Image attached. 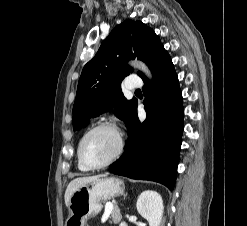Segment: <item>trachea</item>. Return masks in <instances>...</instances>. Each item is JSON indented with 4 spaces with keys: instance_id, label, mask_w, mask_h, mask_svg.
<instances>
[{
    "instance_id": "trachea-1",
    "label": "trachea",
    "mask_w": 247,
    "mask_h": 226,
    "mask_svg": "<svg viewBox=\"0 0 247 226\" xmlns=\"http://www.w3.org/2000/svg\"><path fill=\"white\" fill-rule=\"evenodd\" d=\"M136 92H140V89H137Z\"/></svg>"
}]
</instances>
